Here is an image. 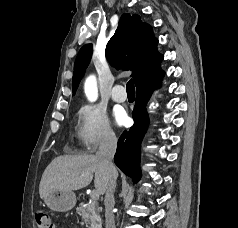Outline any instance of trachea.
Wrapping results in <instances>:
<instances>
[{
	"label": "trachea",
	"mask_w": 238,
	"mask_h": 228,
	"mask_svg": "<svg viewBox=\"0 0 238 228\" xmlns=\"http://www.w3.org/2000/svg\"><path fill=\"white\" fill-rule=\"evenodd\" d=\"M126 90L128 95L135 96V87H134V82L133 80H129V82L126 85Z\"/></svg>",
	"instance_id": "trachea-1"
}]
</instances>
